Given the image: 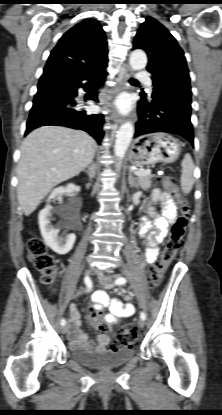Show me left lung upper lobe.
Returning <instances> with one entry per match:
<instances>
[{"label":"left lung upper lobe","instance_id":"1","mask_svg":"<svg viewBox=\"0 0 222 415\" xmlns=\"http://www.w3.org/2000/svg\"><path fill=\"white\" fill-rule=\"evenodd\" d=\"M143 49L149 62L147 70L152 74V80H157L164 74H183L189 76L183 50L171 33L156 19L147 17L135 36L132 49ZM141 96H147L141 92Z\"/></svg>","mask_w":222,"mask_h":415}]
</instances>
